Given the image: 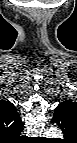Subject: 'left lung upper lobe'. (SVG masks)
<instances>
[{
	"label": "left lung upper lobe",
	"instance_id": "1",
	"mask_svg": "<svg viewBox=\"0 0 77 143\" xmlns=\"http://www.w3.org/2000/svg\"><path fill=\"white\" fill-rule=\"evenodd\" d=\"M72 103V104H74L72 101H64V102H62V103ZM75 105V104H74ZM75 117V116H74ZM60 128L63 130V133H64V136L65 137H68L71 133H70V130H71V125H62V126H60Z\"/></svg>",
	"mask_w": 77,
	"mask_h": 143
}]
</instances>
